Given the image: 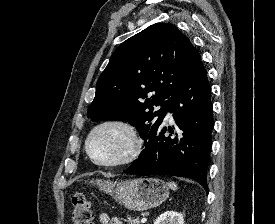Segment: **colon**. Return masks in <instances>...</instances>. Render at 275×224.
I'll list each match as a JSON object with an SVG mask.
<instances>
[{
  "label": "colon",
  "instance_id": "1",
  "mask_svg": "<svg viewBox=\"0 0 275 224\" xmlns=\"http://www.w3.org/2000/svg\"><path fill=\"white\" fill-rule=\"evenodd\" d=\"M72 222L73 224H92V211L90 203L81 193L72 197Z\"/></svg>",
  "mask_w": 275,
  "mask_h": 224
}]
</instances>
